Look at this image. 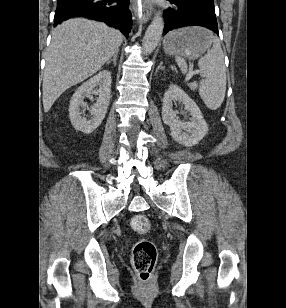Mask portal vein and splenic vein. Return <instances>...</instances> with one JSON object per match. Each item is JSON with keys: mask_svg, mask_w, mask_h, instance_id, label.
Instances as JSON below:
<instances>
[{"mask_svg": "<svg viewBox=\"0 0 286 308\" xmlns=\"http://www.w3.org/2000/svg\"><path fill=\"white\" fill-rule=\"evenodd\" d=\"M194 73H195V71L190 70V72L188 73L187 77L185 78L186 82H188L192 78Z\"/></svg>", "mask_w": 286, "mask_h": 308, "instance_id": "18ae733b", "label": "portal vein and splenic vein"}]
</instances>
